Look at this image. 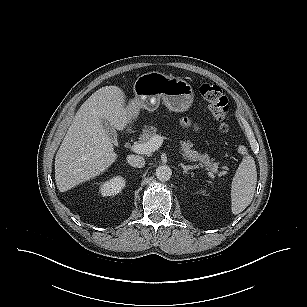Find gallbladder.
<instances>
[{"instance_id":"bac80fb5","label":"gallbladder","mask_w":307,"mask_h":307,"mask_svg":"<svg viewBox=\"0 0 307 307\" xmlns=\"http://www.w3.org/2000/svg\"><path fill=\"white\" fill-rule=\"evenodd\" d=\"M101 122L103 128L107 131V134L111 138L112 142L117 143V134L112 125L106 119H101Z\"/></svg>"}]
</instances>
